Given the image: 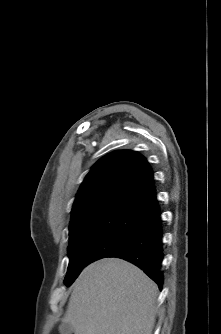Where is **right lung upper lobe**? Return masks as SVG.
I'll use <instances>...</instances> for the list:
<instances>
[{
  "instance_id": "right-lung-upper-lobe-1",
  "label": "right lung upper lobe",
  "mask_w": 221,
  "mask_h": 334,
  "mask_svg": "<svg viewBox=\"0 0 221 334\" xmlns=\"http://www.w3.org/2000/svg\"><path fill=\"white\" fill-rule=\"evenodd\" d=\"M157 203L153 172L145 157L115 151L101 158L85 177L72 207L69 231L95 215L144 216Z\"/></svg>"
}]
</instances>
